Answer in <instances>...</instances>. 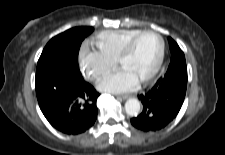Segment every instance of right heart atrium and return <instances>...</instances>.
Instances as JSON below:
<instances>
[{"label":"right heart atrium","mask_w":225,"mask_h":155,"mask_svg":"<svg viewBox=\"0 0 225 155\" xmlns=\"http://www.w3.org/2000/svg\"><path fill=\"white\" fill-rule=\"evenodd\" d=\"M78 59L83 75L91 81L100 79L115 65L114 59L87 44L81 46Z\"/></svg>","instance_id":"d8ad5b80"}]
</instances>
